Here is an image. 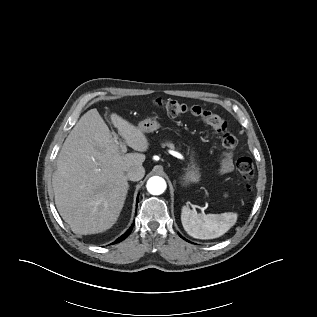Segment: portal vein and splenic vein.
<instances>
[{"mask_svg":"<svg viewBox=\"0 0 317 317\" xmlns=\"http://www.w3.org/2000/svg\"><path fill=\"white\" fill-rule=\"evenodd\" d=\"M120 148H121V152L122 153H126V151H127V147H126V145L123 143V142H120ZM174 156H176L177 155V153L176 152H174V154H173Z\"/></svg>","mask_w":317,"mask_h":317,"instance_id":"portal-vein-and-splenic-vein-1","label":"portal vein and splenic vein"}]
</instances>
